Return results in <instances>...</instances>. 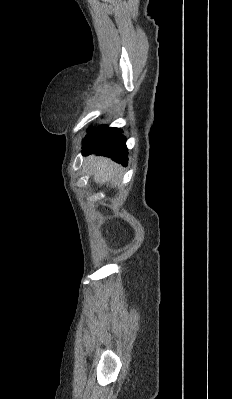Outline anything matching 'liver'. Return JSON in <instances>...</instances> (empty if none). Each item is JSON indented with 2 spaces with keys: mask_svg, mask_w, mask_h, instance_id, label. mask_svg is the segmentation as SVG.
<instances>
[{
  "mask_svg": "<svg viewBox=\"0 0 232 399\" xmlns=\"http://www.w3.org/2000/svg\"><path fill=\"white\" fill-rule=\"evenodd\" d=\"M87 166L91 168V174H93V180L96 184H105L112 180L114 174L119 172L117 164L108 160V158H95L90 156L87 158Z\"/></svg>",
  "mask_w": 232,
  "mask_h": 399,
  "instance_id": "1",
  "label": "liver"
}]
</instances>
